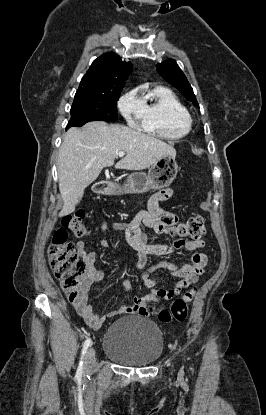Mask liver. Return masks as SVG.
Segmentation results:
<instances>
[{
  "label": "liver",
  "mask_w": 266,
  "mask_h": 415,
  "mask_svg": "<svg viewBox=\"0 0 266 415\" xmlns=\"http://www.w3.org/2000/svg\"><path fill=\"white\" fill-rule=\"evenodd\" d=\"M121 151L127 154L115 167L127 170H143L164 156H176V150L169 144L124 125L93 121L81 129H69L57 160L63 200L60 217L74 212L85 189L97 179L104 167L114 165Z\"/></svg>",
  "instance_id": "1"
}]
</instances>
